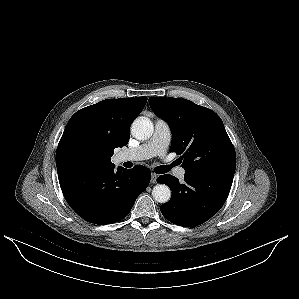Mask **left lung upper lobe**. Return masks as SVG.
<instances>
[{"label": "left lung upper lobe", "instance_id": "left-lung-upper-lobe-1", "mask_svg": "<svg viewBox=\"0 0 299 299\" xmlns=\"http://www.w3.org/2000/svg\"><path fill=\"white\" fill-rule=\"evenodd\" d=\"M154 113L172 131L171 152L182 155L186 172H235L236 153L221 118L212 110L180 98H149Z\"/></svg>", "mask_w": 299, "mask_h": 299}]
</instances>
